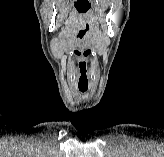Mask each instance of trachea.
<instances>
[{
    "mask_svg": "<svg viewBox=\"0 0 164 157\" xmlns=\"http://www.w3.org/2000/svg\"><path fill=\"white\" fill-rule=\"evenodd\" d=\"M87 89H80L81 92H85Z\"/></svg>",
    "mask_w": 164,
    "mask_h": 157,
    "instance_id": "trachea-1",
    "label": "trachea"
}]
</instances>
